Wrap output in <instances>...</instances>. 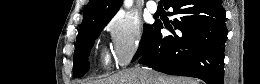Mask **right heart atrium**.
<instances>
[{
	"instance_id": "d8ad5b80",
	"label": "right heart atrium",
	"mask_w": 260,
	"mask_h": 84,
	"mask_svg": "<svg viewBox=\"0 0 260 84\" xmlns=\"http://www.w3.org/2000/svg\"><path fill=\"white\" fill-rule=\"evenodd\" d=\"M112 59L118 66L127 65L142 48L140 24L127 16H115L106 24Z\"/></svg>"
}]
</instances>
